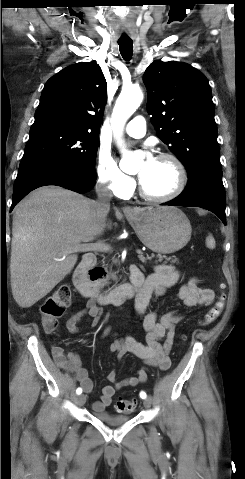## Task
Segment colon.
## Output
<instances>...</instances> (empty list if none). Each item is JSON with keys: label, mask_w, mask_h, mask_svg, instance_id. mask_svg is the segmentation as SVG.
Returning a JSON list of instances; mask_svg holds the SVG:
<instances>
[{"label": "colon", "mask_w": 245, "mask_h": 479, "mask_svg": "<svg viewBox=\"0 0 245 479\" xmlns=\"http://www.w3.org/2000/svg\"><path fill=\"white\" fill-rule=\"evenodd\" d=\"M226 301V294L221 293L215 304L199 320L200 326H208L214 323L221 315ZM71 305V290L68 285L59 286L54 293L45 299L41 306V321L46 333L57 330L59 319ZM136 407V402L127 399H119L115 408L119 413H131Z\"/></svg>", "instance_id": "obj_1"}]
</instances>
